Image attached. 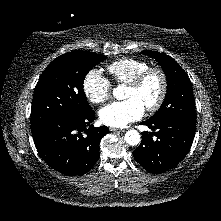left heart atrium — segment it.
<instances>
[{"instance_id": "1", "label": "left heart atrium", "mask_w": 221, "mask_h": 221, "mask_svg": "<svg viewBox=\"0 0 221 221\" xmlns=\"http://www.w3.org/2000/svg\"><path fill=\"white\" fill-rule=\"evenodd\" d=\"M144 109L145 107L136 98H129L103 107L99 111V118L107 126L121 128L140 119Z\"/></svg>"}]
</instances>
